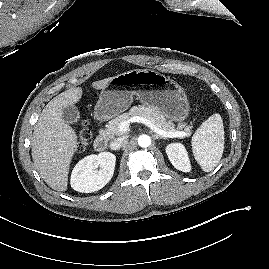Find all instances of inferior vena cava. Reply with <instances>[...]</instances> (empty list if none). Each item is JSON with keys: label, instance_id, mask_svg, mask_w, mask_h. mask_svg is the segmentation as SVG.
Listing matches in <instances>:
<instances>
[{"label": "inferior vena cava", "instance_id": "1", "mask_svg": "<svg viewBox=\"0 0 269 269\" xmlns=\"http://www.w3.org/2000/svg\"><path fill=\"white\" fill-rule=\"evenodd\" d=\"M124 138H122V137H120V138H117V139H114V141H112L111 143H110V148L112 149V150H118V149H120L121 148V146L123 145V143H124Z\"/></svg>", "mask_w": 269, "mask_h": 269}]
</instances>
